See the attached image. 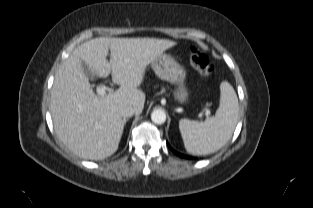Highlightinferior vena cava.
I'll return each mask as SVG.
<instances>
[{"instance_id": "1", "label": "inferior vena cava", "mask_w": 313, "mask_h": 208, "mask_svg": "<svg viewBox=\"0 0 313 208\" xmlns=\"http://www.w3.org/2000/svg\"><path fill=\"white\" fill-rule=\"evenodd\" d=\"M117 113L123 118L131 117L136 113V108L131 104H120Z\"/></svg>"}]
</instances>
